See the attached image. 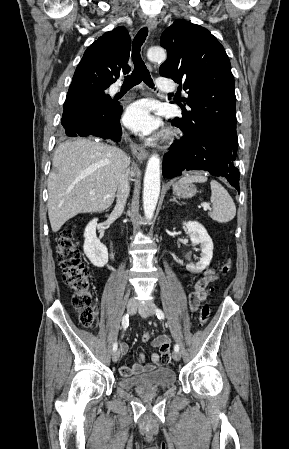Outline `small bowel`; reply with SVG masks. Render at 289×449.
Masks as SVG:
<instances>
[{"instance_id": "c3829d8e", "label": "small bowel", "mask_w": 289, "mask_h": 449, "mask_svg": "<svg viewBox=\"0 0 289 449\" xmlns=\"http://www.w3.org/2000/svg\"><path fill=\"white\" fill-rule=\"evenodd\" d=\"M217 278L218 276L214 269H207L204 274L195 281L193 288L189 293V306L192 311H197L200 304L207 299V287L210 283L217 280ZM171 342V339L166 335H159L151 342V346L153 348H158V352L161 355L152 352L151 362L145 364L144 355L140 354L139 361L137 363H134L131 366L122 365L119 368L120 375L123 377H130L143 372H151L157 368L163 367L164 365H168L172 355L170 352ZM120 349L123 354H126L128 352V345L126 343H122L120 345Z\"/></svg>"}]
</instances>
